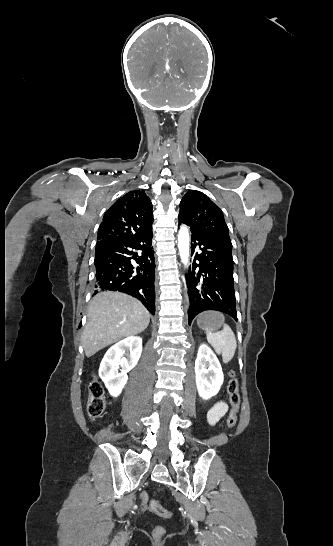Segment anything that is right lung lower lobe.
I'll return each instance as SVG.
<instances>
[{
    "label": "right lung lower lobe",
    "mask_w": 333,
    "mask_h": 546,
    "mask_svg": "<svg viewBox=\"0 0 333 546\" xmlns=\"http://www.w3.org/2000/svg\"><path fill=\"white\" fill-rule=\"evenodd\" d=\"M95 292L119 291L136 297L155 313V259L152 229L132 237H110L96 244Z\"/></svg>",
    "instance_id": "98d812e1"
}]
</instances>
